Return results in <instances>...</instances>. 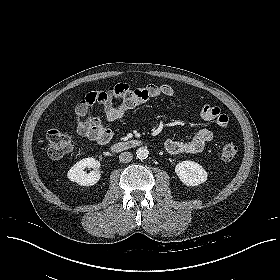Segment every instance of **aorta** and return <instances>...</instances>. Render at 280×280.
<instances>
[{"instance_id": "obj_1", "label": "aorta", "mask_w": 280, "mask_h": 280, "mask_svg": "<svg viewBox=\"0 0 280 280\" xmlns=\"http://www.w3.org/2000/svg\"><path fill=\"white\" fill-rule=\"evenodd\" d=\"M137 158L140 160H145L147 159L149 155V151L146 147H140L136 151Z\"/></svg>"}]
</instances>
